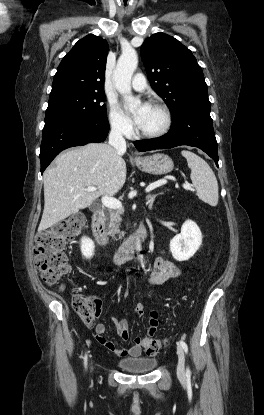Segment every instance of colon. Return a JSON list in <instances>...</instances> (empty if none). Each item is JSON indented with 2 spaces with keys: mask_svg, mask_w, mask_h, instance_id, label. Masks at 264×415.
Listing matches in <instances>:
<instances>
[{
  "mask_svg": "<svg viewBox=\"0 0 264 415\" xmlns=\"http://www.w3.org/2000/svg\"><path fill=\"white\" fill-rule=\"evenodd\" d=\"M84 217L74 214L53 227L39 231L36 235L35 263L47 284L60 282L71 271L63 252L66 244L76 238L84 226ZM76 313L86 325H91L100 314L99 305L86 293H77L72 298ZM148 355H157L162 342L152 337L142 338Z\"/></svg>",
  "mask_w": 264,
  "mask_h": 415,
  "instance_id": "1",
  "label": "colon"
}]
</instances>
